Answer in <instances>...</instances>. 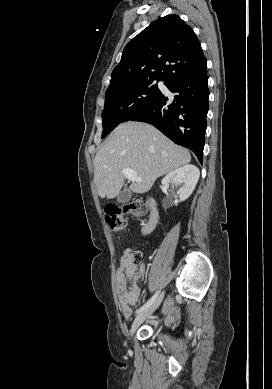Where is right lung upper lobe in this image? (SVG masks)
<instances>
[{
    "mask_svg": "<svg viewBox=\"0 0 272 389\" xmlns=\"http://www.w3.org/2000/svg\"><path fill=\"white\" fill-rule=\"evenodd\" d=\"M203 57L200 42L189 25L177 15L162 17L125 46L107 91L144 80L166 81Z\"/></svg>",
    "mask_w": 272,
    "mask_h": 389,
    "instance_id": "cb5924a9",
    "label": "right lung upper lobe"
}]
</instances>
